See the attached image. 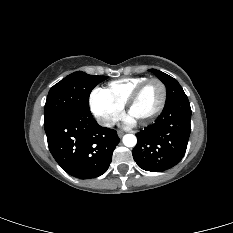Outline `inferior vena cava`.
<instances>
[{"label": "inferior vena cava", "mask_w": 233, "mask_h": 233, "mask_svg": "<svg viewBox=\"0 0 233 233\" xmlns=\"http://www.w3.org/2000/svg\"><path fill=\"white\" fill-rule=\"evenodd\" d=\"M98 123L105 127H112L113 125H115V122L109 117H99Z\"/></svg>", "instance_id": "obj_1"}]
</instances>
